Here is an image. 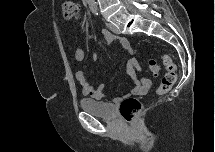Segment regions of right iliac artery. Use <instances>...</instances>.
<instances>
[{
  "label": "right iliac artery",
  "mask_w": 215,
  "mask_h": 152,
  "mask_svg": "<svg viewBox=\"0 0 215 152\" xmlns=\"http://www.w3.org/2000/svg\"><path fill=\"white\" fill-rule=\"evenodd\" d=\"M92 12H93L95 15H98L97 9H92Z\"/></svg>",
  "instance_id": "82829eb1"
}]
</instances>
